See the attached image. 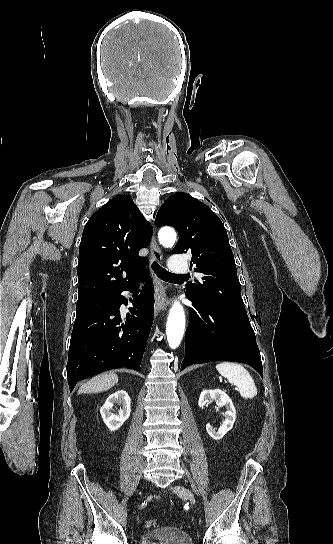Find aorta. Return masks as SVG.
<instances>
[{"mask_svg": "<svg viewBox=\"0 0 333 544\" xmlns=\"http://www.w3.org/2000/svg\"><path fill=\"white\" fill-rule=\"evenodd\" d=\"M160 243L165 247H172L176 241V233L172 228L164 227L158 233ZM185 329V313L182 305L175 302L168 315L166 325L167 341L172 349H176L183 338Z\"/></svg>", "mask_w": 333, "mask_h": 544, "instance_id": "762f6f07", "label": "aorta"}]
</instances>
